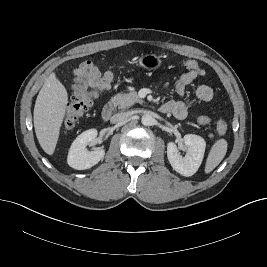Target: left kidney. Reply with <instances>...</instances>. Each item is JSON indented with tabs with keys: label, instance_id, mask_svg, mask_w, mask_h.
<instances>
[{
	"label": "left kidney",
	"instance_id": "obj_1",
	"mask_svg": "<svg viewBox=\"0 0 267 267\" xmlns=\"http://www.w3.org/2000/svg\"><path fill=\"white\" fill-rule=\"evenodd\" d=\"M183 141L187 148L185 157H182L173 142L167 144V157L176 172L189 177L196 173L202 163L206 142L202 137L194 134L185 135Z\"/></svg>",
	"mask_w": 267,
	"mask_h": 267
}]
</instances>
